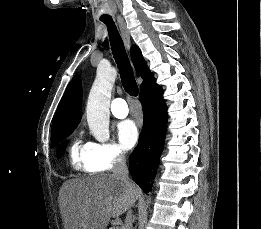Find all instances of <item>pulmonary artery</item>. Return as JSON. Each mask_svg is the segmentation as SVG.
Segmentation results:
<instances>
[{"label":"pulmonary artery","instance_id":"1","mask_svg":"<svg viewBox=\"0 0 261 229\" xmlns=\"http://www.w3.org/2000/svg\"><path fill=\"white\" fill-rule=\"evenodd\" d=\"M111 112L116 118L123 119L128 116L129 109L126 102L123 99L118 98L113 100L111 104Z\"/></svg>","mask_w":261,"mask_h":229}]
</instances>
